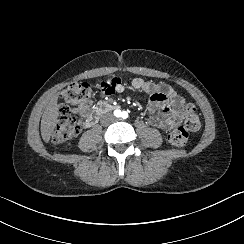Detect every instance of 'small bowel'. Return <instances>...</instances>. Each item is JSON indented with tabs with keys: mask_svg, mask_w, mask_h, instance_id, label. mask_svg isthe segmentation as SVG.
<instances>
[{
	"mask_svg": "<svg viewBox=\"0 0 244 244\" xmlns=\"http://www.w3.org/2000/svg\"><path fill=\"white\" fill-rule=\"evenodd\" d=\"M131 86L150 95L146 116L149 126L166 131L180 123V108L183 99L172 86L163 82H151L143 78H134L131 81ZM99 87L101 98L122 93L127 88L126 83L119 77L102 82Z\"/></svg>",
	"mask_w": 244,
	"mask_h": 244,
	"instance_id": "small-bowel-1",
	"label": "small bowel"
}]
</instances>
